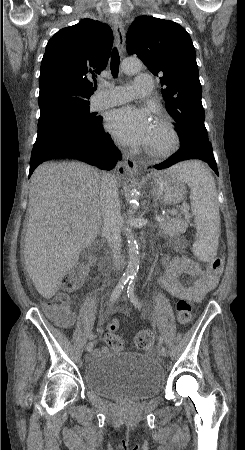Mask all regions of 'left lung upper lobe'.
Masks as SVG:
<instances>
[{
  "mask_svg": "<svg viewBox=\"0 0 245 450\" xmlns=\"http://www.w3.org/2000/svg\"><path fill=\"white\" fill-rule=\"evenodd\" d=\"M126 39L128 53L137 54L151 73L161 76L165 107L177 122L180 149L209 146L196 52L187 31L173 21L139 16Z\"/></svg>",
  "mask_w": 245,
  "mask_h": 450,
  "instance_id": "1",
  "label": "left lung upper lobe"
}]
</instances>
